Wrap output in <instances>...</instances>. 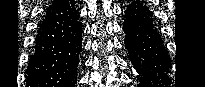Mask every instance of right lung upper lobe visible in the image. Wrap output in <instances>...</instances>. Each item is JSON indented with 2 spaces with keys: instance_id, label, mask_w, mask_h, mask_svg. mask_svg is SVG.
Returning <instances> with one entry per match:
<instances>
[{
  "instance_id": "obj_1",
  "label": "right lung upper lobe",
  "mask_w": 205,
  "mask_h": 87,
  "mask_svg": "<svg viewBox=\"0 0 205 87\" xmlns=\"http://www.w3.org/2000/svg\"><path fill=\"white\" fill-rule=\"evenodd\" d=\"M57 1H58V0H55L54 2H52V4L55 3V2H57Z\"/></svg>"
}]
</instances>
